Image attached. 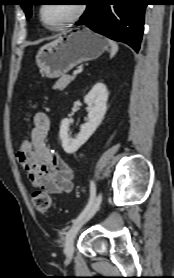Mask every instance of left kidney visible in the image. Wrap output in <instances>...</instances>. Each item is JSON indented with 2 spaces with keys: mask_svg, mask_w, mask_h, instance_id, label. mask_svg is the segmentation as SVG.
<instances>
[{
  "mask_svg": "<svg viewBox=\"0 0 174 278\" xmlns=\"http://www.w3.org/2000/svg\"><path fill=\"white\" fill-rule=\"evenodd\" d=\"M108 95L106 85L99 82L85 96L84 101L89 108L88 122L81 126L80 132L75 138H71L69 135L70 119L62 120L59 135L66 153L76 152L96 131L106 113Z\"/></svg>",
  "mask_w": 174,
  "mask_h": 278,
  "instance_id": "5707ae66",
  "label": "left kidney"
}]
</instances>
